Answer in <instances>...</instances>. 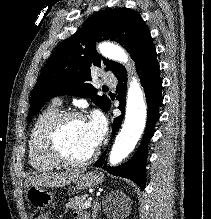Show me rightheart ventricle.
Returning a JSON list of instances; mask_svg holds the SVG:
<instances>
[{
    "mask_svg": "<svg viewBox=\"0 0 211 219\" xmlns=\"http://www.w3.org/2000/svg\"><path fill=\"white\" fill-rule=\"evenodd\" d=\"M59 112H61L60 105L54 102L37 116L31 129L28 139V161L39 172L50 171L58 166L44 156L40 149L39 140L44 126Z\"/></svg>",
    "mask_w": 211,
    "mask_h": 219,
    "instance_id": "1",
    "label": "right heart ventricle"
}]
</instances>
